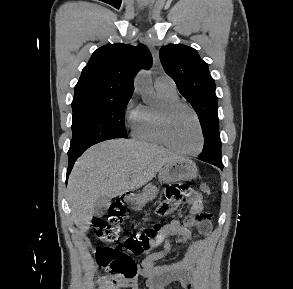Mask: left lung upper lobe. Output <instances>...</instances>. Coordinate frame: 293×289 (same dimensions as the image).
<instances>
[{"mask_svg": "<svg viewBox=\"0 0 293 289\" xmlns=\"http://www.w3.org/2000/svg\"><path fill=\"white\" fill-rule=\"evenodd\" d=\"M160 60L165 72L175 81L181 95L185 97L196 111L203 135L219 131L217 113V96L215 82L208 65L197 51L180 44L161 47ZM213 162H222L221 148L209 157Z\"/></svg>", "mask_w": 293, "mask_h": 289, "instance_id": "1", "label": "left lung upper lobe"}]
</instances>
